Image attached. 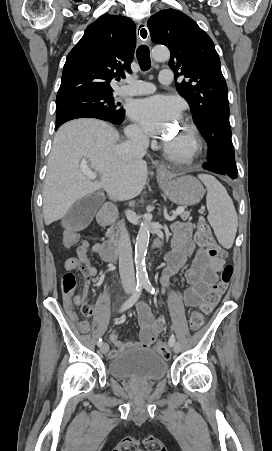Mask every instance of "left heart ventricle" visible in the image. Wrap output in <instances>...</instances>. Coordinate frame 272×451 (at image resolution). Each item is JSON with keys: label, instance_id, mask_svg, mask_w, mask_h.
I'll return each mask as SVG.
<instances>
[{"label": "left heart ventricle", "instance_id": "b2bd125f", "mask_svg": "<svg viewBox=\"0 0 272 451\" xmlns=\"http://www.w3.org/2000/svg\"><path fill=\"white\" fill-rule=\"evenodd\" d=\"M187 136H188V135H187L186 130H185L184 128H181V129H180V132L178 133V135H177V137H176V140H178V141L184 143V142L187 140Z\"/></svg>", "mask_w": 272, "mask_h": 451}]
</instances>
